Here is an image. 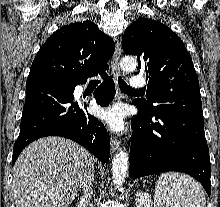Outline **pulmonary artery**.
Masks as SVG:
<instances>
[{"instance_id": "obj_1", "label": "pulmonary artery", "mask_w": 220, "mask_h": 207, "mask_svg": "<svg viewBox=\"0 0 220 207\" xmlns=\"http://www.w3.org/2000/svg\"><path fill=\"white\" fill-rule=\"evenodd\" d=\"M130 85L134 89H142L146 87V81L142 77L135 76L132 78Z\"/></svg>"}]
</instances>
